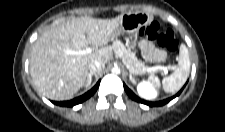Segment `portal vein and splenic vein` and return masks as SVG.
<instances>
[{"label": "portal vein and splenic vein", "instance_id": "obj_1", "mask_svg": "<svg viewBox=\"0 0 225 132\" xmlns=\"http://www.w3.org/2000/svg\"><path fill=\"white\" fill-rule=\"evenodd\" d=\"M92 52V49L90 47H87L85 50L83 51H72V50H68L67 53L68 54H75V55H82V54H89ZM174 68L173 66H155V67H151V68H148L146 71L147 72H151V71H155V70H163V71H167V69H172Z\"/></svg>", "mask_w": 225, "mask_h": 132}]
</instances>
